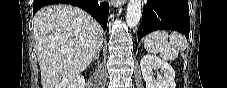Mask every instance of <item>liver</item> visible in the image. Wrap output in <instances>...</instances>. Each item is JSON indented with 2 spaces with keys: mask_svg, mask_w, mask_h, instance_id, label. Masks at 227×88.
Masks as SVG:
<instances>
[{
  "mask_svg": "<svg viewBox=\"0 0 227 88\" xmlns=\"http://www.w3.org/2000/svg\"><path fill=\"white\" fill-rule=\"evenodd\" d=\"M34 39L42 88L83 72L103 43L101 26L78 7L55 4L34 17Z\"/></svg>",
  "mask_w": 227,
  "mask_h": 88,
  "instance_id": "liver-1",
  "label": "liver"
}]
</instances>
